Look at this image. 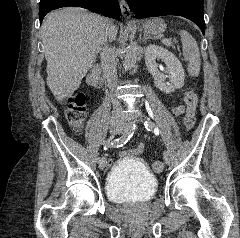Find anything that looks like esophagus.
I'll use <instances>...</instances> for the list:
<instances>
[{
    "instance_id": "esophagus-1",
    "label": "esophagus",
    "mask_w": 240,
    "mask_h": 238,
    "mask_svg": "<svg viewBox=\"0 0 240 238\" xmlns=\"http://www.w3.org/2000/svg\"><path fill=\"white\" fill-rule=\"evenodd\" d=\"M119 4H120V9L123 17L127 19L131 18L132 12L126 0H120Z\"/></svg>"
}]
</instances>
